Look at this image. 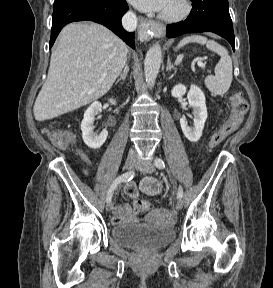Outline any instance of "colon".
I'll use <instances>...</instances> for the list:
<instances>
[{"label": "colon", "mask_w": 273, "mask_h": 288, "mask_svg": "<svg viewBox=\"0 0 273 288\" xmlns=\"http://www.w3.org/2000/svg\"><path fill=\"white\" fill-rule=\"evenodd\" d=\"M231 114L230 116L219 126V128L212 134L209 141V148L214 149L220 145L229 135L235 132L243 123L244 117L248 111V102L242 93L236 92L230 97ZM51 142L59 147L66 148L70 145L73 137L60 129H47ZM138 207L142 212H148L151 209L150 203L147 201H139Z\"/></svg>", "instance_id": "5ec220e1"}]
</instances>
